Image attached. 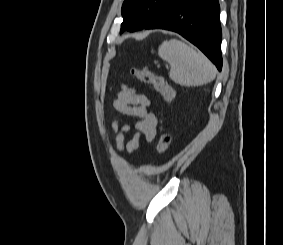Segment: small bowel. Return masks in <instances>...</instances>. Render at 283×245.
<instances>
[{
	"instance_id": "c3829d8e",
	"label": "small bowel",
	"mask_w": 283,
	"mask_h": 245,
	"mask_svg": "<svg viewBox=\"0 0 283 245\" xmlns=\"http://www.w3.org/2000/svg\"><path fill=\"white\" fill-rule=\"evenodd\" d=\"M113 109L123 115L137 118L134 125H124L118 128L116 122H112L115 132L116 148L119 152H127L131 155L139 147L140 139L143 137L147 142L154 140L157 133V117L150 110L149 99L134 89L123 87L112 103ZM133 130V137L125 142V134Z\"/></svg>"
}]
</instances>
